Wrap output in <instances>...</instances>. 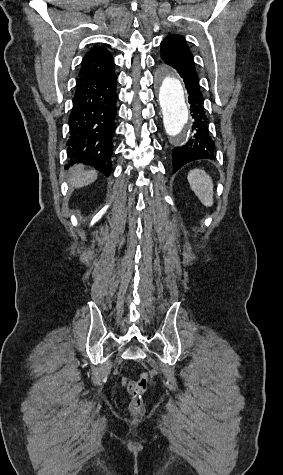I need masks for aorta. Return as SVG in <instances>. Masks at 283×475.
Here are the masks:
<instances>
[{
  "label": "aorta",
  "mask_w": 283,
  "mask_h": 475,
  "mask_svg": "<svg viewBox=\"0 0 283 475\" xmlns=\"http://www.w3.org/2000/svg\"><path fill=\"white\" fill-rule=\"evenodd\" d=\"M159 102L169 139L178 146L185 144L192 127L191 118L182 82L168 70L159 72Z\"/></svg>",
  "instance_id": "obj_1"
}]
</instances>
